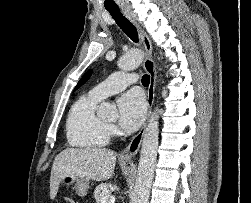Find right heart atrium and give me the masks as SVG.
I'll return each mask as SVG.
<instances>
[{"label":"right heart atrium","instance_id":"d8ad5b80","mask_svg":"<svg viewBox=\"0 0 251 203\" xmlns=\"http://www.w3.org/2000/svg\"><path fill=\"white\" fill-rule=\"evenodd\" d=\"M108 128H109L110 133H114L116 131V129L113 125H110Z\"/></svg>","mask_w":251,"mask_h":203}]
</instances>
